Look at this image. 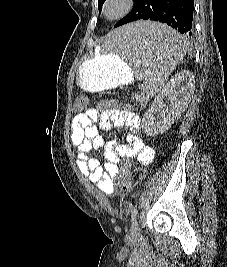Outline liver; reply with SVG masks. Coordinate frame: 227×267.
<instances>
[{"label":"liver","mask_w":227,"mask_h":267,"mask_svg":"<svg viewBox=\"0 0 227 267\" xmlns=\"http://www.w3.org/2000/svg\"><path fill=\"white\" fill-rule=\"evenodd\" d=\"M112 33H116V30L115 31H113ZM99 50V48H97V51Z\"/></svg>","instance_id":"obj_1"}]
</instances>
